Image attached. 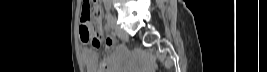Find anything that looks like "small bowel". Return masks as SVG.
I'll return each mask as SVG.
<instances>
[{
    "label": "small bowel",
    "instance_id": "1",
    "mask_svg": "<svg viewBox=\"0 0 267 72\" xmlns=\"http://www.w3.org/2000/svg\"><path fill=\"white\" fill-rule=\"evenodd\" d=\"M116 39L113 36H109L106 39L105 48L109 49L115 44ZM82 57L89 72H112L115 58L108 56L103 59L101 64H98L96 53L89 47L85 48L82 52Z\"/></svg>",
    "mask_w": 267,
    "mask_h": 72
}]
</instances>
